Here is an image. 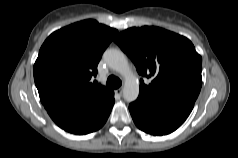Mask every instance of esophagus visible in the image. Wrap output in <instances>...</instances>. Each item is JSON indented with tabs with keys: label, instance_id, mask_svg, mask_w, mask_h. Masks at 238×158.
I'll return each instance as SVG.
<instances>
[{
	"label": "esophagus",
	"instance_id": "34e87169",
	"mask_svg": "<svg viewBox=\"0 0 238 158\" xmlns=\"http://www.w3.org/2000/svg\"><path fill=\"white\" fill-rule=\"evenodd\" d=\"M117 92H118L120 95H122V94H123V88H122V87L119 88V89L117 90Z\"/></svg>",
	"mask_w": 238,
	"mask_h": 158
}]
</instances>
